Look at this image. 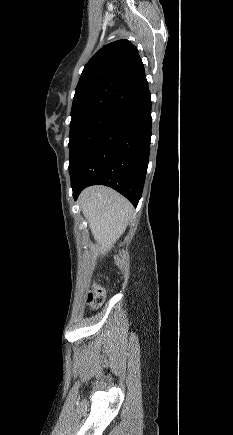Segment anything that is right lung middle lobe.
<instances>
[{
    "instance_id": "right-lung-middle-lobe-1",
    "label": "right lung middle lobe",
    "mask_w": 233,
    "mask_h": 435,
    "mask_svg": "<svg viewBox=\"0 0 233 435\" xmlns=\"http://www.w3.org/2000/svg\"><path fill=\"white\" fill-rule=\"evenodd\" d=\"M122 113L111 110H97L71 119L69 141V172L101 136L116 123Z\"/></svg>"
}]
</instances>
